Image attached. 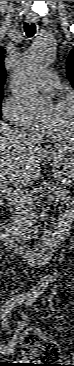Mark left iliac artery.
I'll list each match as a JSON object with an SVG mask.
<instances>
[{
    "instance_id": "obj_1",
    "label": "left iliac artery",
    "mask_w": 74,
    "mask_h": 366,
    "mask_svg": "<svg viewBox=\"0 0 74 366\" xmlns=\"http://www.w3.org/2000/svg\"><path fill=\"white\" fill-rule=\"evenodd\" d=\"M32 303V301H31V299L27 302V304H31Z\"/></svg>"
}]
</instances>
